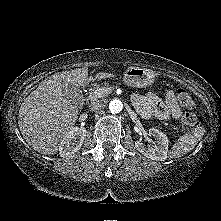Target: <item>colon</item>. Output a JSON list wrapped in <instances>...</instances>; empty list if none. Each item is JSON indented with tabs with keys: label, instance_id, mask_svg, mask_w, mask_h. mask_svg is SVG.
Segmentation results:
<instances>
[{
	"label": "colon",
	"instance_id": "5ec220e1",
	"mask_svg": "<svg viewBox=\"0 0 221 221\" xmlns=\"http://www.w3.org/2000/svg\"><path fill=\"white\" fill-rule=\"evenodd\" d=\"M176 100L181 108L188 111L182 117V126L185 129L195 128L198 125V119L192 112H190L194 108V100L192 97L186 90L178 89L176 92Z\"/></svg>",
	"mask_w": 221,
	"mask_h": 221
}]
</instances>
